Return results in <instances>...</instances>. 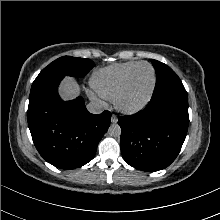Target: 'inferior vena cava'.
Here are the masks:
<instances>
[{
    "mask_svg": "<svg viewBox=\"0 0 220 220\" xmlns=\"http://www.w3.org/2000/svg\"><path fill=\"white\" fill-rule=\"evenodd\" d=\"M87 109L92 114H100L104 110V103L101 100L92 101L87 105Z\"/></svg>",
    "mask_w": 220,
    "mask_h": 220,
    "instance_id": "1",
    "label": "inferior vena cava"
}]
</instances>
